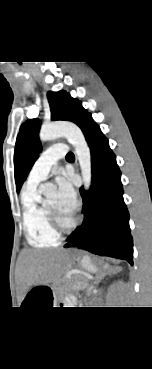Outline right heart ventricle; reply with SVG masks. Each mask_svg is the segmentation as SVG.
Here are the masks:
<instances>
[{
    "mask_svg": "<svg viewBox=\"0 0 152 369\" xmlns=\"http://www.w3.org/2000/svg\"><path fill=\"white\" fill-rule=\"evenodd\" d=\"M22 221L28 243L32 247H54L60 240L50 225L37 185L25 187L21 195Z\"/></svg>",
    "mask_w": 152,
    "mask_h": 369,
    "instance_id": "obj_1",
    "label": "right heart ventricle"
}]
</instances>
